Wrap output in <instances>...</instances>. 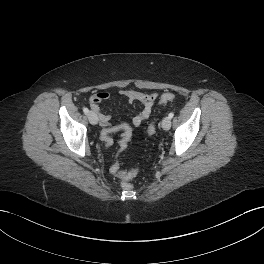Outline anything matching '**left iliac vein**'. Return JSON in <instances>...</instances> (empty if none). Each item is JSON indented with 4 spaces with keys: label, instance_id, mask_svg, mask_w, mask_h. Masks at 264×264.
I'll return each mask as SVG.
<instances>
[{
    "label": "left iliac vein",
    "instance_id": "1",
    "mask_svg": "<svg viewBox=\"0 0 264 264\" xmlns=\"http://www.w3.org/2000/svg\"><path fill=\"white\" fill-rule=\"evenodd\" d=\"M171 127V119L169 117H165L163 120H162V128L164 130H169Z\"/></svg>",
    "mask_w": 264,
    "mask_h": 264
}]
</instances>
